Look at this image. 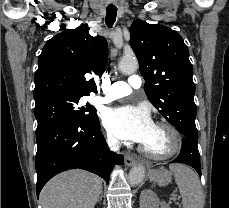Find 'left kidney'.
I'll use <instances>...</instances> for the list:
<instances>
[{
	"mask_svg": "<svg viewBox=\"0 0 229 208\" xmlns=\"http://www.w3.org/2000/svg\"><path fill=\"white\" fill-rule=\"evenodd\" d=\"M159 200L151 190H144L140 196V208H156ZM161 208H169L166 202H162Z\"/></svg>",
	"mask_w": 229,
	"mask_h": 208,
	"instance_id": "left-kidney-1",
	"label": "left kidney"
}]
</instances>
